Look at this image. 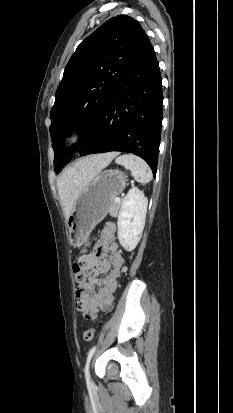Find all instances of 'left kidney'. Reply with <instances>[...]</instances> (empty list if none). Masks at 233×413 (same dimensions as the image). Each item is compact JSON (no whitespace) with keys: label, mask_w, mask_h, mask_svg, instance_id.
I'll return each mask as SVG.
<instances>
[{"label":"left kidney","mask_w":233,"mask_h":413,"mask_svg":"<svg viewBox=\"0 0 233 413\" xmlns=\"http://www.w3.org/2000/svg\"><path fill=\"white\" fill-rule=\"evenodd\" d=\"M148 199L138 188H132L124 198L118 215V239L126 251L138 245L145 225Z\"/></svg>","instance_id":"1"}]
</instances>
